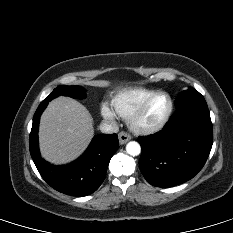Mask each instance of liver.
<instances>
[{"label": "liver", "instance_id": "6515ba94", "mask_svg": "<svg viewBox=\"0 0 233 233\" xmlns=\"http://www.w3.org/2000/svg\"><path fill=\"white\" fill-rule=\"evenodd\" d=\"M93 136L91 114L72 98L52 100L41 116L40 152L50 163L60 165L75 160L84 152Z\"/></svg>", "mask_w": 233, "mask_h": 233}]
</instances>
